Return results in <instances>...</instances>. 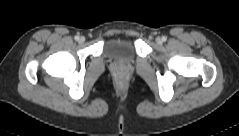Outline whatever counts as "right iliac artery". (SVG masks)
<instances>
[{
	"instance_id": "1",
	"label": "right iliac artery",
	"mask_w": 239,
	"mask_h": 136,
	"mask_svg": "<svg viewBox=\"0 0 239 136\" xmlns=\"http://www.w3.org/2000/svg\"><path fill=\"white\" fill-rule=\"evenodd\" d=\"M75 40H76V41L79 40V36H78V35L75 36Z\"/></svg>"
}]
</instances>
